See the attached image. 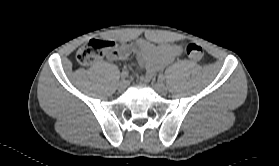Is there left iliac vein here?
<instances>
[{
  "mask_svg": "<svg viewBox=\"0 0 279 166\" xmlns=\"http://www.w3.org/2000/svg\"><path fill=\"white\" fill-rule=\"evenodd\" d=\"M154 89L161 95L167 94V87L161 81H158L154 84Z\"/></svg>",
  "mask_w": 279,
  "mask_h": 166,
  "instance_id": "4c4485c4",
  "label": "left iliac vein"
}]
</instances>
